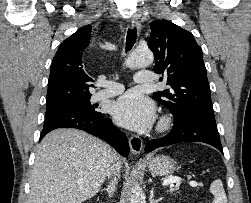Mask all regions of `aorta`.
Wrapping results in <instances>:
<instances>
[{
    "label": "aorta",
    "instance_id": "1",
    "mask_svg": "<svg viewBox=\"0 0 251 203\" xmlns=\"http://www.w3.org/2000/svg\"><path fill=\"white\" fill-rule=\"evenodd\" d=\"M154 60L153 53L149 49H136L126 59L129 68H141L149 66ZM130 203H145V195L141 186L134 182L130 189Z\"/></svg>",
    "mask_w": 251,
    "mask_h": 203
}]
</instances>
